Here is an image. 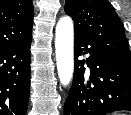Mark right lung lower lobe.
Listing matches in <instances>:
<instances>
[{
    "mask_svg": "<svg viewBox=\"0 0 131 115\" xmlns=\"http://www.w3.org/2000/svg\"><path fill=\"white\" fill-rule=\"evenodd\" d=\"M31 38L0 50V115H26Z\"/></svg>",
    "mask_w": 131,
    "mask_h": 115,
    "instance_id": "1",
    "label": "right lung lower lobe"
}]
</instances>
